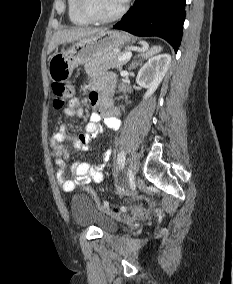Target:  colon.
<instances>
[{"instance_id": "obj_1", "label": "colon", "mask_w": 233, "mask_h": 284, "mask_svg": "<svg viewBox=\"0 0 233 284\" xmlns=\"http://www.w3.org/2000/svg\"><path fill=\"white\" fill-rule=\"evenodd\" d=\"M159 52L158 47H151L148 51L144 54V57L153 56ZM74 93V87L70 82L62 81V82H55L52 85V94H53V106L55 109L63 108L67 102L70 100ZM84 191H86L99 208V210L104 211L109 214L122 216L125 210H110L108 205L103 203L100 198L96 195V193L89 187H84ZM131 212L134 215H139L142 213V208L140 206H135L131 208Z\"/></svg>"}]
</instances>
